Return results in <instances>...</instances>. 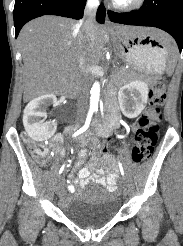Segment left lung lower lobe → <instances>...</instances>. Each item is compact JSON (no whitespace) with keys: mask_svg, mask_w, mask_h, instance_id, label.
I'll use <instances>...</instances> for the list:
<instances>
[{"mask_svg":"<svg viewBox=\"0 0 183 246\" xmlns=\"http://www.w3.org/2000/svg\"><path fill=\"white\" fill-rule=\"evenodd\" d=\"M112 22L152 26L168 32L176 40L179 50L183 48V0H145L135 12H108Z\"/></svg>","mask_w":183,"mask_h":246,"instance_id":"obj_1","label":"left lung lower lobe"}]
</instances>
